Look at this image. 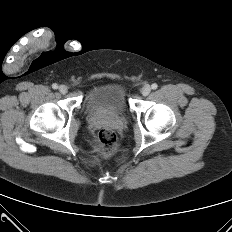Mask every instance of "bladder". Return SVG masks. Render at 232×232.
<instances>
[{"label":"bladder","mask_w":232,"mask_h":232,"mask_svg":"<svg viewBox=\"0 0 232 232\" xmlns=\"http://www.w3.org/2000/svg\"><path fill=\"white\" fill-rule=\"evenodd\" d=\"M84 105L92 113L124 114L129 108L126 88L118 81L101 83L88 92Z\"/></svg>","instance_id":"obj_1"}]
</instances>
